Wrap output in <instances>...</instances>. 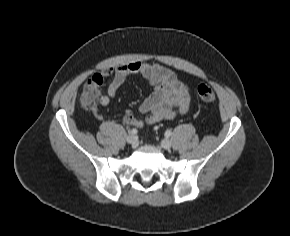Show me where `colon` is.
<instances>
[{"mask_svg": "<svg viewBox=\"0 0 290 236\" xmlns=\"http://www.w3.org/2000/svg\"><path fill=\"white\" fill-rule=\"evenodd\" d=\"M100 82H94L92 79L87 81L81 90L80 100L88 109H94L99 101ZM197 94L201 102L209 104L216 100L214 90L208 85H200L197 89Z\"/></svg>", "mask_w": 290, "mask_h": 236, "instance_id": "5ec220e1", "label": "colon"}]
</instances>
